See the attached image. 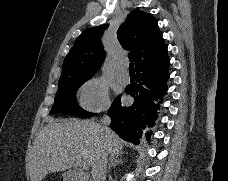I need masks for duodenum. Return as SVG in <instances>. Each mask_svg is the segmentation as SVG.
I'll use <instances>...</instances> for the list:
<instances>
[{
    "mask_svg": "<svg viewBox=\"0 0 228 181\" xmlns=\"http://www.w3.org/2000/svg\"><path fill=\"white\" fill-rule=\"evenodd\" d=\"M78 172H67L63 181H83V178H78Z\"/></svg>",
    "mask_w": 228,
    "mask_h": 181,
    "instance_id": "1",
    "label": "duodenum"
}]
</instances>
